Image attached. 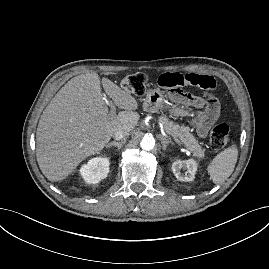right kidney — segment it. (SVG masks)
Instances as JSON below:
<instances>
[{"instance_id": "ca27d5eb", "label": "right kidney", "mask_w": 269, "mask_h": 269, "mask_svg": "<svg viewBox=\"0 0 269 269\" xmlns=\"http://www.w3.org/2000/svg\"><path fill=\"white\" fill-rule=\"evenodd\" d=\"M109 158L95 157L90 159L87 164H84L80 169V174L83 180L88 184L99 183L107 177L109 172Z\"/></svg>"}]
</instances>
